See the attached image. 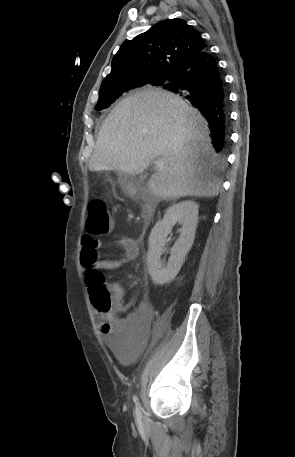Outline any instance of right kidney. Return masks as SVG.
<instances>
[{
    "label": "right kidney",
    "mask_w": 295,
    "mask_h": 457,
    "mask_svg": "<svg viewBox=\"0 0 295 457\" xmlns=\"http://www.w3.org/2000/svg\"><path fill=\"white\" fill-rule=\"evenodd\" d=\"M178 222L182 227L178 230L179 238L171 249V256L166 265L160 261L166 237L173 225ZM198 223V205L186 200L169 207L162 220L158 221L149 237L147 264L152 281L156 285L171 282L183 265L185 256L191 249Z\"/></svg>",
    "instance_id": "obj_1"
}]
</instances>
